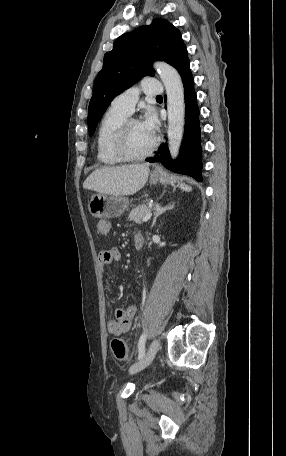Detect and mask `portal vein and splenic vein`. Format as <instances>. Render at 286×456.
<instances>
[{"instance_id":"portal-vein-and-splenic-vein-1","label":"portal vein and splenic vein","mask_w":286,"mask_h":456,"mask_svg":"<svg viewBox=\"0 0 286 456\" xmlns=\"http://www.w3.org/2000/svg\"><path fill=\"white\" fill-rule=\"evenodd\" d=\"M151 216H152V212L149 211V212L146 214V216L143 218V222L148 221V220L150 219Z\"/></svg>"}]
</instances>
